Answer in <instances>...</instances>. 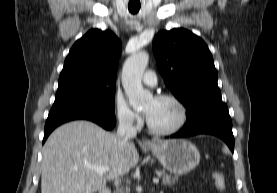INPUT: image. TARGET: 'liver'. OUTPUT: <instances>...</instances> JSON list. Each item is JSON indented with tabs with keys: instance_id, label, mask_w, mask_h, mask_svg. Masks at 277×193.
<instances>
[{
	"instance_id": "6515ba94",
	"label": "liver",
	"mask_w": 277,
	"mask_h": 193,
	"mask_svg": "<svg viewBox=\"0 0 277 193\" xmlns=\"http://www.w3.org/2000/svg\"><path fill=\"white\" fill-rule=\"evenodd\" d=\"M139 154L124 141L89 121H73L54 130L43 151L41 193H95L107 181L135 167ZM105 166L99 173L87 166Z\"/></svg>"
}]
</instances>
